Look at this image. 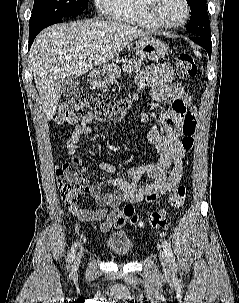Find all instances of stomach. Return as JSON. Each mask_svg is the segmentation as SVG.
I'll list each match as a JSON object with an SVG mask.
<instances>
[{
	"label": "stomach",
	"instance_id": "obj_1",
	"mask_svg": "<svg viewBox=\"0 0 239 303\" xmlns=\"http://www.w3.org/2000/svg\"><path fill=\"white\" fill-rule=\"evenodd\" d=\"M135 51L142 60L158 61L168 53V46L156 38L144 36L136 43ZM118 63L119 60L115 59L112 63L92 71L89 75V83L96 87H105L115 82L121 74Z\"/></svg>",
	"mask_w": 239,
	"mask_h": 303
}]
</instances>
